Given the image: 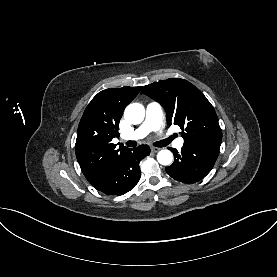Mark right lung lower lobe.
I'll list each match as a JSON object with an SVG mask.
<instances>
[{
	"instance_id": "98d812e1",
	"label": "right lung lower lobe",
	"mask_w": 277,
	"mask_h": 277,
	"mask_svg": "<svg viewBox=\"0 0 277 277\" xmlns=\"http://www.w3.org/2000/svg\"><path fill=\"white\" fill-rule=\"evenodd\" d=\"M149 153L150 148L147 145L130 149L106 173L90 184L107 195H123L129 192L140 179L141 159Z\"/></svg>"
}]
</instances>
